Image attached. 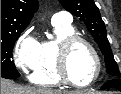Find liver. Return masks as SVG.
Instances as JSON below:
<instances>
[{
	"label": "liver",
	"instance_id": "liver-1",
	"mask_svg": "<svg viewBox=\"0 0 121 94\" xmlns=\"http://www.w3.org/2000/svg\"><path fill=\"white\" fill-rule=\"evenodd\" d=\"M1 94H89L85 92H64L60 90H50L45 88H33L20 86L14 82L1 78Z\"/></svg>",
	"mask_w": 121,
	"mask_h": 94
}]
</instances>
